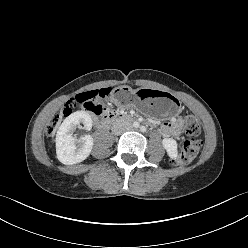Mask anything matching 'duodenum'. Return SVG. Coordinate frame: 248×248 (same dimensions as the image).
<instances>
[{"mask_svg":"<svg viewBox=\"0 0 248 248\" xmlns=\"http://www.w3.org/2000/svg\"><path fill=\"white\" fill-rule=\"evenodd\" d=\"M97 118V124L100 127H107L114 122H126L129 120V117L117 112H106L102 116H99L98 113H94Z\"/></svg>","mask_w":248,"mask_h":248,"instance_id":"obj_1","label":"duodenum"}]
</instances>
